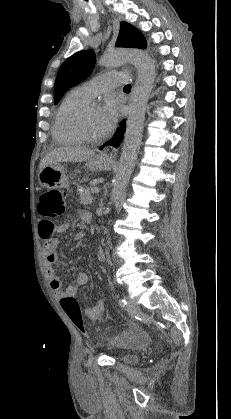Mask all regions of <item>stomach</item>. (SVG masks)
Wrapping results in <instances>:
<instances>
[{
  "mask_svg": "<svg viewBox=\"0 0 231 419\" xmlns=\"http://www.w3.org/2000/svg\"><path fill=\"white\" fill-rule=\"evenodd\" d=\"M113 161L105 154H98L90 158L86 166L92 171L109 170ZM39 184L47 189L66 188L69 186V179L65 169L60 163L48 165L42 168L38 174Z\"/></svg>",
  "mask_w": 231,
  "mask_h": 419,
  "instance_id": "0dacf381",
  "label": "stomach"
}]
</instances>
